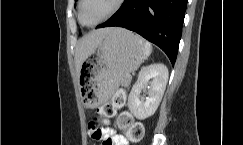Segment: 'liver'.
Returning <instances> with one entry per match:
<instances>
[{"label":"liver","instance_id":"obj_1","mask_svg":"<svg viewBox=\"0 0 243 145\" xmlns=\"http://www.w3.org/2000/svg\"><path fill=\"white\" fill-rule=\"evenodd\" d=\"M113 28L93 30L79 40L75 51L76 71L79 73L83 62L95 51L104 37Z\"/></svg>","mask_w":243,"mask_h":145}]
</instances>
